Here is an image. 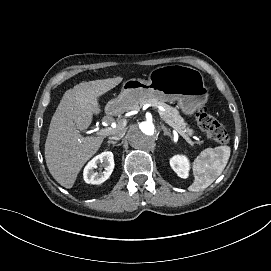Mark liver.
<instances>
[{"instance_id":"liver-1","label":"liver","mask_w":271,"mask_h":271,"mask_svg":"<svg viewBox=\"0 0 271 271\" xmlns=\"http://www.w3.org/2000/svg\"><path fill=\"white\" fill-rule=\"evenodd\" d=\"M122 80L115 77L82 82L63 96L50 123L45 159L52 177L64 188L73 187L85 163L101 147L104 136L82 137L80 133L89 128L93 115L102 113L100 98Z\"/></svg>"}]
</instances>
